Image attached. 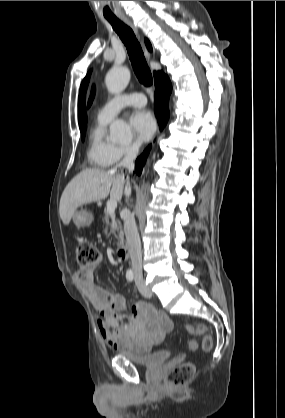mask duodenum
I'll use <instances>...</instances> for the list:
<instances>
[{
    "instance_id": "1",
    "label": "duodenum",
    "mask_w": 285,
    "mask_h": 418,
    "mask_svg": "<svg viewBox=\"0 0 285 418\" xmlns=\"http://www.w3.org/2000/svg\"><path fill=\"white\" fill-rule=\"evenodd\" d=\"M118 255L120 258L122 259H127L129 258L130 255V249L128 245H123L121 247L118 248Z\"/></svg>"
}]
</instances>
